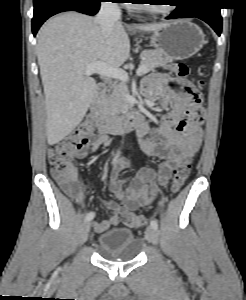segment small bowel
Listing matches in <instances>:
<instances>
[{
  "mask_svg": "<svg viewBox=\"0 0 246 300\" xmlns=\"http://www.w3.org/2000/svg\"><path fill=\"white\" fill-rule=\"evenodd\" d=\"M187 89V82L166 74H152L144 81L143 95L160 98L161 106L169 110L157 126L144 120L137 129L141 150L148 156L159 158L161 165L158 171L142 168L134 178L126 181L120 179L119 174L128 167V160L122 158L116 163L110 179V190L120 202L100 201L112 214L108 219L94 223L96 232L118 225L124 212L149 205L159 187L168 182L174 169L180 164L190 163L199 150L204 113L202 110L200 117L193 114V102ZM107 141L106 135L95 137L78 157L84 158L88 153L96 152ZM53 175L62 190L81 205L83 191L76 173L72 177ZM124 184H127L125 191Z\"/></svg>",
  "mask_w": 246,
  "mask_h": 300,
  "instance_id": "obj_1",
  "label": "small bowel"
}]
</instances>
